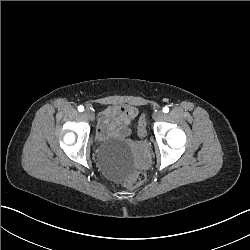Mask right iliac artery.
Listing matches in <instances>:
<instances>
[{
	"label": "right iliac artery",
	"mask_w": 250,
	"mask_h": 250,
	"mask_svg": "<svg viewBox=\"0 0 250 250\" xmlns=\"http://www.w3.org/2000/svg\"><path fill=\"white\" fill-rule=\"evenodd\" d=\"M78 111H79V112H83V111H84V107H83L82 105H80V106L78 107Z\"/></svg>",
	"instance_id": "obj_1"
}]
</instances>
